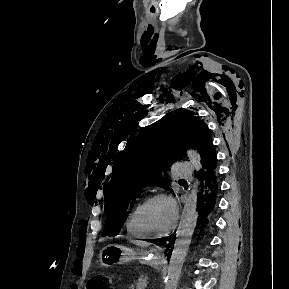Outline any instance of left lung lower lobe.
<instances>
[{
    "instance_id": "obj_1",
    "label": "left lung lower lobe",
    "mask_w": 289,
    "mask_h": 289,
    "mask_svg": "<svg viewBox=\"0 0 289 289\" xmlns=\"http://www.w3.org/2000/svg\"><path fill=\"white\" fill-rule=\"evenodd\" d=\"M202 168L200 172L196 173L201 181V192H199L197 200V211L202 221L201 230L204 223H208L218 193L217 156L215 148L210 151L203 161ZM155 241L169 242V244L172 245L175 242V237L169 236Z\"/></svg>"
}]
</instances>
